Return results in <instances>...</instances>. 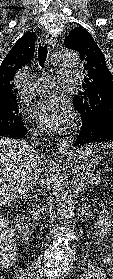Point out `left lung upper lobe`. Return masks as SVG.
<instances>
[{
	"label": "left lung upper lobe",
	"mask_w": 113,
	"mask_h": 279,
	"mask_svg": "<svg viewBox=\"0 0 113 279\" xmlns=\"http://www.w3.org/2000/svg\"><path fill=\"white\" fill-rule=\"evenodd\" d=\"M64 45L79 53L84 74L82 91L73 97V104L85 106L89 114L93 109L107 106L113 110V76L91 34L82 27L74 28L65 38Z\"/></svg>",
	"instance_id": "1"
}]
</instances>
